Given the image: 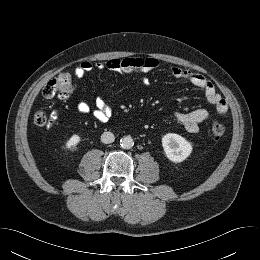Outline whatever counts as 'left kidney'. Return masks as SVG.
Returning <instances> with one entry per match:
<instances>
[{
  "instance_id": "obj_1",
  "label": "left kidney",
  "mask_w": 260,
  "mask_h": 260,
  "mask_svg": "<svg viewBox=\"0 0 260 260\" xmlns=\"http://www.w3.org/2000/svg\"><path fill=\"white\" fill-rule=\"evenodd\" d=\"M162 146L167 158L175 163L184 161L192 152V145L182 136L168 133L162 138Z\"/></svg>"
}]
</instances>
